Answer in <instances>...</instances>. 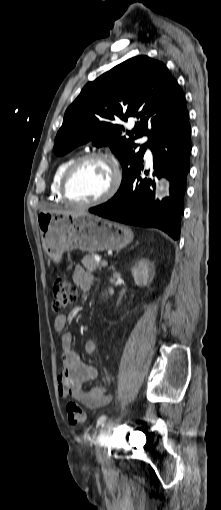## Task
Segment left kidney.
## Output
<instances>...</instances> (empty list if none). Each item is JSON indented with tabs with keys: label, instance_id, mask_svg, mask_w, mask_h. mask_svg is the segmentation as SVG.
Segmentation results:
<instances>
[{
	"label": "left kidney",
	"instance_id": "1",
	"mask_svg": "<svg viewBox=\"0 0 221 510\" xmlns=\"http://www.w3.org/2000/svg\"><path fill=\"white\" fill-rule=\"evenodd\" d=\"M135 283L138 286H146L149 281L151 263L148 259H141L131 268Z\"/></svg>",
	"mask_w": 221,
	"mask_h": 510
}]
</instances>
